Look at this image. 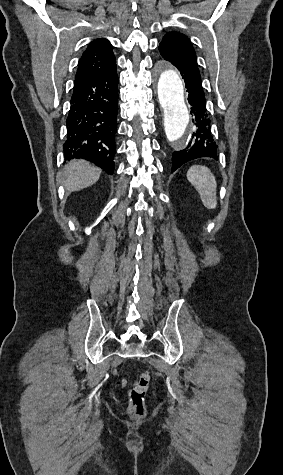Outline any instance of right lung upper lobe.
Listing matches in <instances>:
<instances>
[{
  "instance_id": "obj_1",
  "label": "right lung upper lobe",
  "mask_w": 283,
  "mask_h": 475,
  "mask_svg": "<svg viewBox=\"0 0 283 475\" xmlns=\"http://www.w3.org/2000/svg\"><path fill=\"white\" fill-rule=\"evenodd\" d=\"M115 68L116 60L112 45L104 38L96 39L88 45L81 56L76 77L103 74Z\"/></svg>"
}]
</instances>
